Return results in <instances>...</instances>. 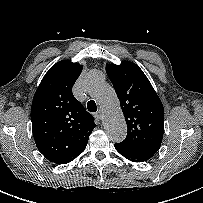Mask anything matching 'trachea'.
<instances>
[{"instance_id":"obj_1","label":"trachea","mask_w":203,"mask_h":203,"mask_svg":"<svg viewBox=\"0 0 203 203\" xmlns=\"http://www.w3.org/2000/svg\"><path fill=\"white\" fill-rule=\"evenodd\" d=\"M87 108H88V111H90V112H96L97 111V105H96L95 101L94 100L88 101Z\"/></svg>"}]
</instances>
